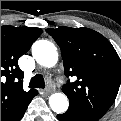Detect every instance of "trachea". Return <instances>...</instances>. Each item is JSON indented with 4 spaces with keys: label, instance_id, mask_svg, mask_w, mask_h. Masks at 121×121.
<instances>
[{
    "label": "trachea",
    "instance_id": "obj_1",
    "mask_svg": "<svg viewBox=\"0 0 121 121\" xmlns=\"http://www.w3.org/2000/svg\"><path fill=\"white\" fill-rule=\"evenodd\" d=\"M30 87L42 89L45 88V82L42 75L37 74L36 76L32 77L30 80Z\"/></svg>",
    "mask_w": 121,
    "mask_h": 121
}]
</instances>
